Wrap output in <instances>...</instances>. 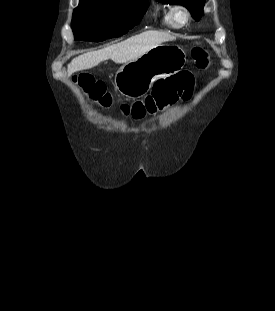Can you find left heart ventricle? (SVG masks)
<instances>
[{
  "instance_id": "obj_1",
  "label": "left heart ventricle",
  "mask_w": 275,
  "mask_h": 311,
  "mask_svg": "<svg viewBox=\"0 0 275 311\" xmlns=\"http://www.w3.org/2000/svg\"><path fill=\"white\" fill-rule=\"evenodd\" d=\"M177 19H178L179 21H182V20H183V16H182V15H178V16H177Z\"/></svg>"
}]
</instances>
